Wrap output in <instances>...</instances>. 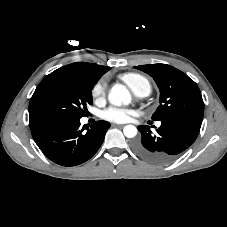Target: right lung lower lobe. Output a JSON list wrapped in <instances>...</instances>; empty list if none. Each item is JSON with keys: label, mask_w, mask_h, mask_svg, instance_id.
<instances>
[{"label": "right lung lower lobe", "mask_w": 227, "mask_h": 227, "mask_svg": "<svg viewBox=\"0 0 227 227\" xmlns=\"http://www.w3.org/2000/svg\"><path fill=\"white\" fill-rule=\"evenodd\" d=\"M110 124L97 121L80 126V120L47 122L30 127L32 136L43 154L62 166L79 165L100 148Z\"/></svg>", "instance_id": "right-lung-lower-lobe-1"}]
</instances>
